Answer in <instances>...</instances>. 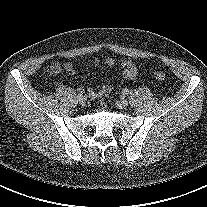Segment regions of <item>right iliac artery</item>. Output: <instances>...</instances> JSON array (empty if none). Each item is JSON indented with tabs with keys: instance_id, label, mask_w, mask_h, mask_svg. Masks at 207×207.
Returning <instances> with one entry per match:
<instances>
[{
	"instance_id": "1",
	"label": "right iliac artery",
	"mask_w": 207,
	"mask_h": 207,
	"mask_svg": "<svg viewBox=\"0 0 207 207\" xmlns=\"http://www.w3.org/2000/svg\"><path fill=\"white\" fill-rule=\"evenodd\" d=\"M78 93H79V95H83L85 93V91H84V89L80 88V89H78Z\"/></svg>"
}]
</instances>
